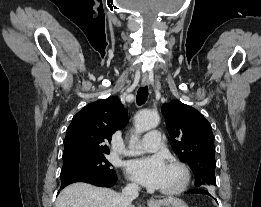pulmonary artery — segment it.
Segmentation results:
<instances>
[{"label":"pulmonary artery","instance_id":"obj_1","mask_svg":"<svg viewBox=\"0 0 261 207\" xmlns=\"http://www.w3.org/2000/svg\"><path fill=\"white\" fill-rule=\"evenodd\" d=\"M161 145V134L158 130L148 132L136 145L130 147L126 153L129 155L145 152H155Z\"/></svg>","mask_w":261,"mask_h":207}]
</instances>
